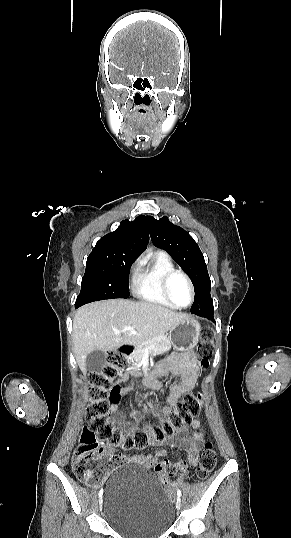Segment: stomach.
Wrapping results in <instances>:
<instances>
[{
	"label": "stomach",
	"mask_w": 291,
	"mask_h": 538,
	"mask_svg": "<svg viewBox=\"0 0 291 538\" xmlns=\"http://www.w3.org/2000/svg\"><path fill=\"white\" fill-rule=\"evenodd\" d=\"M200 332L199 322L190 317L170 330L169 340L177 350L192 351L199 341Z\"/></svg>",
	"instance_id": "1"
}]
</instances>
